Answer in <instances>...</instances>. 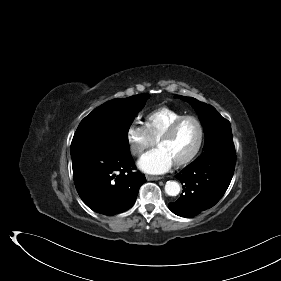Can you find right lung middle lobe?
Instances as JSON below:
<instances>
[{
    "label": "right lung middle lobe",
    "mask_w": 281,
    "mask_h": 281,
    "mask_svg": "<svg viewBox=\"0 0 281 281\" xmlns=\"http://www.w3.org/2000/svg\"><path fill=\"white\" fill-rule=\"evenodd\" d=\"M149 94L113 99L99 106L79 124L71 143L72 159L87 154L130 152L128 130Z\"/></svg>",
    "instance_id": "1"
}]
</instances>
